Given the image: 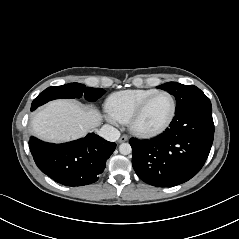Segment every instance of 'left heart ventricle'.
<instances>
[{
	"mask_svg": "<svg viewBox=\"0 0 239 239\" xmlns=\"http://www.w3.org/2000/svg\"><path fill=\"white\" fill-rule=\"evenodd\" d=\"M172 111V101L167 95H158L146 106L138 124L144 128H155L163 124Z\"/></svg>",
	"mask_w": 239,
	"mask_h": 239,
	"instance_id": "obj_1",
	"label": "left heart ventricle"
}]
</instances>
